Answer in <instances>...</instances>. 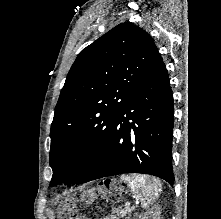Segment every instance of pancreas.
Returning a JSON list of instances; mask_svg holds the SVG:
<instances>
[{
  "label": "pancreas",
  "mask_w": 221,
  "mask_h": 219,
  "mask_svg": "<svg viewBox=\"0 0 221 219\" xmlns=\"http://www.w3.org/2000/svg\"><path fill=\"white\" fill-rule=\"evenodd\" d=\"M132 210L128 207L122 209V208H113L112 209V215L105 218V219H119L122 218L124 216H126L127 214H129Z\"/></svg>",
  "instance_id": "obj_1"
}]
</instances>
